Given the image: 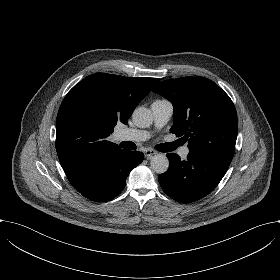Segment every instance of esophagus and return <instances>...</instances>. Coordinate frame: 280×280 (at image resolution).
Returning <instances> with one entry per match:
<instances>
[{"mask_svg": "<svg viewBox=\"0 0 280 280\" xmlns=\"http://www.w3.org/2000/svg\"><path fill=\"white\" fill-rule=\"evenodd\" d=\"M155 154H156V151L151 148H147L144 150V155L147 159H149L150 157H152Z\"/></svg>", "mask_w": 280, "mask_h": 280, "instance_id": "34e87169", "label": "esophagus"}]
</instances>
